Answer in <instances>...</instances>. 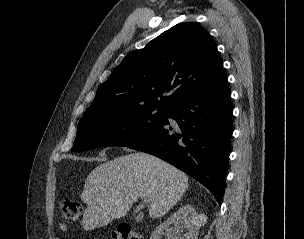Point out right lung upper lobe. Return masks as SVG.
Instances as JSON below:
<instances>
[{
    "mask_svg": "<svg viewBox=\"0 0 304 239\" xmlns=\"http://www.w3.org/2000/svg\"><path fill=\"white\" fill-rule=\"evenodd\" d=\"M222 68L208 32L194 22L179 23L126 56L98 87L82 118L121 107L167 108L213 83Z\"/></svg>",
    "mask_w": 304,
    "mask_h": 239,
    "instance_id": "obj_1",
    "label": "right lung upper lobe"
}]
</instances>
